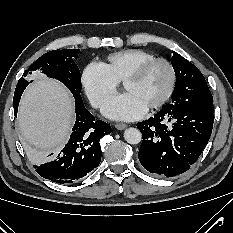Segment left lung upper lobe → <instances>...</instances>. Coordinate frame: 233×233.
<instances>
[{
	"label": "left lung upper lobe",
	"instance_id": "5c2ea615",
	"mask_svg": "<svg viewBox=\"0 0 233 233\" xmlns=\"http://www.w3.org/2000/svg\"><path fill=\"white\" fill-rule=\"evenodd\" d=\"M171 63L176 74V85L169 105L213 113V98L199 69L176 52Z\"/></svg>",
	"mask_w": 233,
	"mask_h": 233
}]
</instances>
